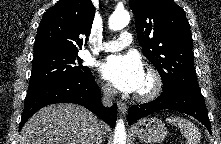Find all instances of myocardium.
<instances>
[{
    "label": "myocardium",
    "mask_w": 221,
    "mask_h": 144,
    "mask_svg": "<svg viewBox=\"0 0 221 144\" xmlns=\"http://www.w3.org/2000/svg\"><path fill=\"white\" fill-rule=\"evenodd\" d=\"M145 75L149 79L150 86L146 91L137 92L135 95V98L141 102L154 100L162 91V79L155 69H147Z\"/></svg>",
    "instance_id": "myocardium-1"
}]
</instances>
